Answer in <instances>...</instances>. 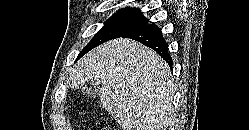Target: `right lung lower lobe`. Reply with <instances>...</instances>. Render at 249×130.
Instances as JSON below:
<instances>
[{
  "label": "right lung lower lobe",
  "mask_w": 249,
  "mask_h": 130,
  "mask_svg": "<svg viewBox=\"0 0 249 130\" xmlns=\"http://www.w3.org/2000/svg\"><path fill=\"white\" fill-rule=\"evenodd\" d=\"M120 37L136 40L153 50H155L170 66L172 58L168 53L167 43L165 42L160 28L154 23L146 24ZM80 58V57H79Z\"/></svg>",
  "instance_id": "1"
}]
</instances>
